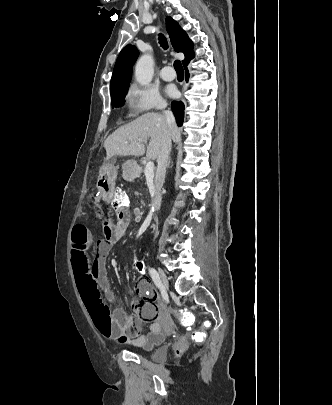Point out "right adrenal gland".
<instances>
[{
  "label": "right adrenal gland",
  "mask_w": 332,
  "mask_h": 405,
  "mask_svg": "<svg viewBox=\"0 0 332 405\" xmlns=\"http://www.w3.org/2000/svg\"><path fill=\"white\" fill-rule=\"evenodd\" d=\"M170 163H171V158L169 157V159H168V164H167V168H170Z\"/></svg>",
  "instance_id": "obj_1"
}]
</instances>
